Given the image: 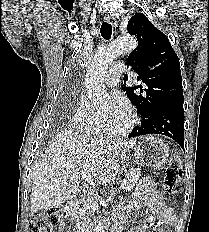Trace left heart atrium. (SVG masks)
Segmentation results:
<instances>
[{
    "label": "left heart atrium",
    "mask_w": 209,
    "mask_h": 232,
    "mask_svg": "<svg viewBox=\"0 0 209 232\" xmlns=\"http://www.w3.org/2000/svg\"><path fill=\"white\" fill-rule=\"evenodd\" d=\"M110 102L112 111L109 122L119 120L128 115L130 106L128 101L122 94H112Z\"/></svg>",
    "instance_id": "39dd6f15"
}]
</instances>
